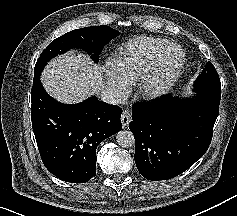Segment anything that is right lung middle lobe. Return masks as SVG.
<instances>
[{
	"label": "right lung middle lobe",
	"mask_w": 237,
	"mask_h": 216,
	"mask_svg": "<svg viewBox=\"0 0 237 216\" xmlns=\"http://www.w3.org/2000/svg\"><path fill=\"white\" fill-rule=\"evenodd\" d=\"M119 35V31L109 26H91L75 29L53 40L41 53L34 69V78L40 77L44 66L53 57L72 48L87 51L91 58L98 62L103 46Z\"/></svg>",
	"instance_id": "right-lung-middle-lobe-1"
}]
</instances>
